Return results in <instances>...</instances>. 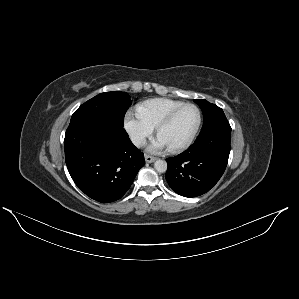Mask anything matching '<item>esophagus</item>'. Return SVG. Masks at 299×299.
Instances as JSON below:
<instances>
[{
    "instance_id": "34e87169",
    "label": "esophagus",
    "mask_w": 299,
    "mask_h": 299,
    "mask_svg": "<svg viewBox=\"0 0 299 299\" xmlns=\"http://www.w3.org/2000/svg\"><path fill=\"white\" fill-rule=\"evenodd\" d=\"M156 160V157L150 156V155H145V161L147 163H152Z\"/></svg>"
}]
</instances>
